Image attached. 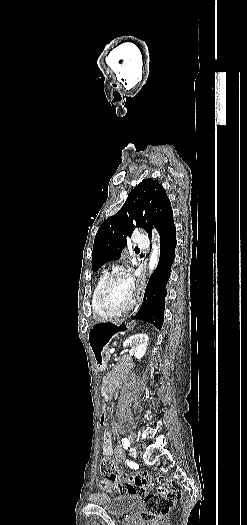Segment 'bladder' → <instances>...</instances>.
I'll list each match as a JSON object with an SVG mask.
<instances>
[{"instance_id":"31cf9c89","label":"bladder","mask_w":247,"mask_h":525,"mask_svg":"<svg viewBox=\"0 0 247 525\" xmlns=\"http://www.w3.org/2000/svg\"><path fill=\"white\" fill-rule=\"evenodd\" d=\"M95 497L99 499L95 501L96 504H99L98 507L103 508L109 516L113 517L128 515L131 510L141 507L136 495L122 493L112 497L108 494H98Z\"/></svg>"}]
</instances>
